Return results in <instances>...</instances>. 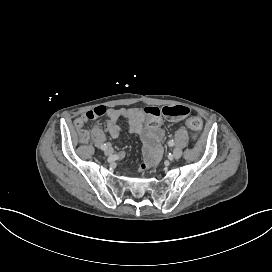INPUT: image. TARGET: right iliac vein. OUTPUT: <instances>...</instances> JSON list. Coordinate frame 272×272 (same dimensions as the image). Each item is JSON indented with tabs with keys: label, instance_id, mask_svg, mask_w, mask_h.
Returning <instances> with one entry per match:
<instances>
[{
	"label": "right iliac vein",
	"instance_id": "1",
	"mask_svg": "<svg viewBox=\"0 0 272 272\" xmlns=\"http://www.w3.org/2000/svg\"><path fill=\"white\" fill-rule=\"evenodd\" d=\"M104 153L106 156H111V155H113L114 150L111 147H109L104 151Z\"/></svg>",
	"mask_w": 272,
	"mask_h": 272
}]
</instances>
